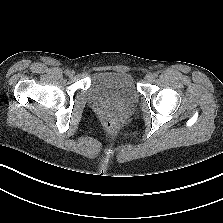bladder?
Returning a JSON list of instances; mask_svg holds the SVG:
<instances>
[{
    "mask_svg": "<svg viewBox=\"0 0 223 223\" xmlns=\"http://www.w3.org/2000/svg\"><path fill=\"white\" fill-rule=\"evenodd\" d=\"M87 97L92 101L134 104L138 100L133 78L124 72H98L90 80Z\"/></svg>",
    "mask_w": 223,
    "mask_h": 223,
    "instance_id": "1",
    "label": "bladder"
}]
</instances>
